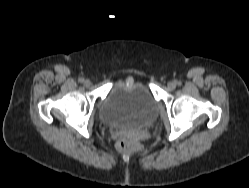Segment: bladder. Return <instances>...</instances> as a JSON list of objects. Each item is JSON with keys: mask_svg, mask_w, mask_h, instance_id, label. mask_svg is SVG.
Listing matches in <instances>:
<instances>
[{"mask_svg": "<svg viewBox=\"0 0 249 188\" xmlns=\"http://www.w3.org/2000/svg\"><path fill=\"white\" fill-rule=\"evenodd\" d=\"M99 115L109 125L144 126L156 119L158 104L145 83L124 82L113 87L102 103Z\"/></svg>", "mask_w": 249, "mask_h": 188, "instance_id": "31cf9c89", "label": "bladder"}]
</instances>
